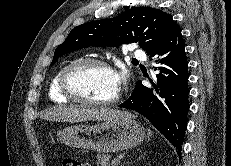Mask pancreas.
<instances>
[{
    "instance_id": "obj_1",
    "label": "pancreas",
    "mask_w": 231,
    "mask_h": 166,
    "mask_svg": "<svg viewBox=\"0 0 231 166\" xmlns=\"http://www.w3.org/2000/svg\"><path fill=\"white\" fill-rule=\"evenodd\" d=\"M97 166H118L119 162L114 159L110 161V157L107 155H97Z\"/></svg>"
}]
</instances>
